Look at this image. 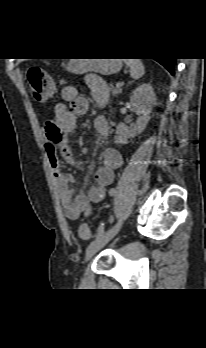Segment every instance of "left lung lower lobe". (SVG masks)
Wrapping results in <instances>:
<instances>
[{"label":"left lung lower lobe","instance_id":"1","mask_svg":"<svg viewBox=\"0 0 206 348\" xmlns=\"http://www.w3.org/2000/svg\"><path fill=\"white\" fill-rule=\"evenodd\" d=\"M172 75H174V66L176 58L157 59Z\"/></svg>","mask_w":206,"mask_h":348}]
</instances>
